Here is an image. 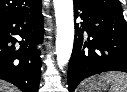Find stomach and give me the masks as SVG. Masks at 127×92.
I'll use <instances>...</instances> for the list:
<instances>
[{
  "label": "stomach",
  "mask_w": 127,
  "mask_h": 92,
  "mask_svg": "<svg viewBox=\"0 0 127 92\" xmlns=\"http://www.w3.org/2000/svg\"><path fill=\"white\" fill-rule=\"evenodd\" d=\"M109 86V83L103 80H89L85 85L83 92H102L106 90Z\"/></svg>",
  "instance_id": "0dacf381"
}]
</instances>
